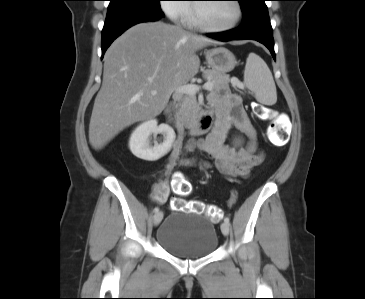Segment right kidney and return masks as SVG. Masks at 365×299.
I'll return each mask as SVG.
<instances>
[{"mask_svg":"<svg viewBox=\"0 0 365 299\" xmlns=\"http://www.w3.org/2000/svg\"><path fill=\"white\" fill-rule=\"evenodd\" d=\"M162 134L163 142L150 140V136ZM175 132L167 124H160L156 119H150L140 124L131 134L129 148L133 155L146 161H156L166 155L175 141Z\"/></svg>","mask_w":365,"mask_h":299,"instance_id":"ca27d5eb","label":"right kidney"}]
</instances>
